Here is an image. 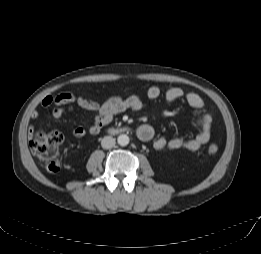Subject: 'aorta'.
<instances>
[{"label":"aorta","mask_w":261,"mask_h":254,"mask_svg":"<svg viewBox=\"0 0 261 254\" xmlns=\"http://www.w3.org/2000/svg\"><path fill=\"white\" fill-rule=\"evenodd\" d=\"M129 137L126 134H120L117 138V142L120 146H126L129 144Z\"/></svg>","instance_id":"obj_1"}]
</instances>
